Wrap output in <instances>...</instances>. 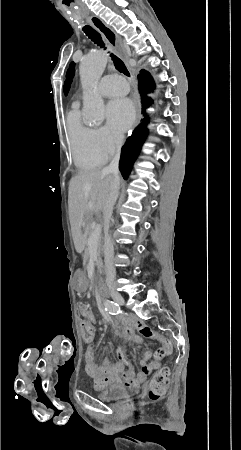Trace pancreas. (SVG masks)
I'll list each match as a JSON object with an SVG mask.
<instances>
[{
  "mask_svg": "<svg viewBox=\"0 0 241 450\" xmlns=\"http://www.w3.org/2000/svg\"><path fill=\"white\" fill-rule=\"evenodd\" d=\"M88 232H90V230H86V236H91V234H88ZM97 256H100V252H101V248H102V242H101V238H99V240H97ZM100 264H102V260L101 258H98Z\"/></svg>",
  "mask_w": 241,
  "mask_h": 450,
  "instance_id": "pancreas-1",
  "label": "pancreas"
}]
</instances>
